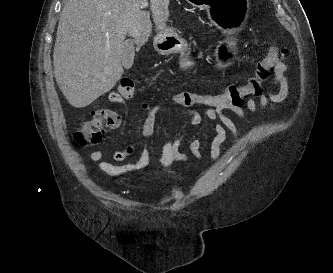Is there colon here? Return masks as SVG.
I'll return each instance as SVG.
<instances>
[{"label":"colon","instance_id":"1","mask_svg":"<svg viewBox=\"0 0 333 273\" xmlns=\"http://www.w3.org/2000/svg\"><path fill=\"white\" fill-rule=\"evenodd\" d=\"M280 55L281 50L275 45H271L266 55L258 61L254 74L243 85H231L219 94L182 91L175 94L172 100L185 108L242 107L247 98L262 94L263 84L274 71ZM117 92L130 99L135 92L134 81L129 78L123 79ZM116 122L117 118L113 112L105 109L97 110L91 115L90 119L80 124L75 133V139L81 145L99 143L104 130L110 128Z\"/></svg>","mask_w":333,"mask_h":273}]
</instances>
